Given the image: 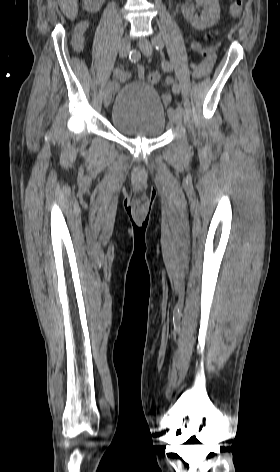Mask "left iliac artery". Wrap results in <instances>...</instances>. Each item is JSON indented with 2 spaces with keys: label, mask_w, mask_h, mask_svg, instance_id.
<instances>
[{
  "label": "left iliac artery",
  "mask_w": 280,
  "mask_h": 472,
  "mask_svg": "<svg viewBox=\"0 0 280 472\" xmlns=\"http://www.w3.org/2000/svg\"><path fill=\"white\" fill-rule=\"evenodd\" d=\"M153 44L155 45L156 49L159 50V49H162L163 46H164V42L161 38L159 37H155L153 38L152 40ZM162 67L165 71H168V72H171L173 71V65L168 62V61H165L163 64H162ZM172 91L175 95H178L180 93V87L178 84H173L172 86ZM176 110H178L180 113L183 112V108L180 104L177 105L176 107Z\"/></svg>",
  "instance_id": "44dca946"
}]
</instances>
